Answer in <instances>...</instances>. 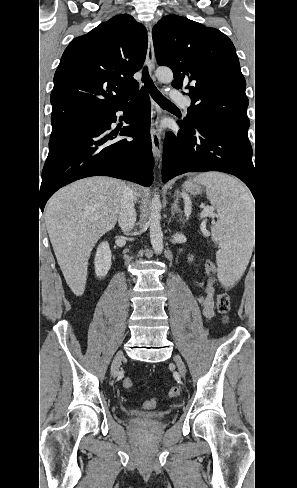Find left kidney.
Instances as JSON below:
<instances>
[{
  "label": "left kidney",
  "instance_id": "1",
  "mask_svg": "<svg viewBox=\"0 0 297 488\" xmlns=\"http://www.w3.org/2000/svg\"><path fill=\"white\" fill-rule=\"evenodd\" d=\"M188 260H189V262H190V261L192 262V261H193V256H192V255H191V256H189V257H188Z\"/></svg>",
  "mask_w": 297,
  "mask_h": 488
}]
</instances>
